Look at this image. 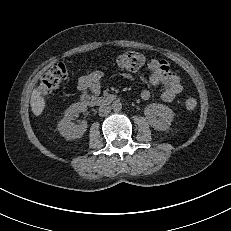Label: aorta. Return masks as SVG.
Wrapping results in <instances>:
<instances>
[{
    "label": "aorta",
    "mask_w": 231,
    "mask_h": 231,
    "mask_svg": "<svg viewBox=\"0 0 231 231\" xmlns=\"http://www.w3.org/2000/svg\"><path fill=\"white\" fill-rule=\"evenodd\" d=\"M112 109L114 111H119L122 108V104L119 100H115L112 105H111Z\"/></svg>",
    "instance_id": "aorta-1"
}]
</instances>
